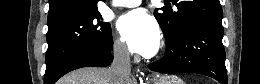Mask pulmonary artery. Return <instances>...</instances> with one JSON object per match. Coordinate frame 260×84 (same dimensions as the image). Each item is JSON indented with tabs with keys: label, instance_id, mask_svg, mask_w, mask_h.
<instances>
[{
	"label": "pulmonary artery",
	"instance_id": "pulmonary-artery-1",
	"mask_svg": "<svg viewBox=\"0 0 260 84\" xmlns=\"http://www.w3.org/2000/svg\"><path fill=\"white\" fill-rule=\"evenodd\" d=\"M140 3V0H115L113 5L118 7H135Z\"/></svg>",
	"mask_w": 260,
	"mask_h": 84
}]
</instances>
